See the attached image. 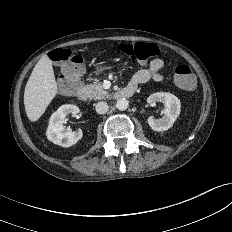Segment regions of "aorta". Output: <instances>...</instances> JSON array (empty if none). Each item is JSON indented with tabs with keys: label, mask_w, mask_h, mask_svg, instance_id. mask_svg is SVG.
<instances>
[{
	"label": "aorta",
	"mask_w": 232,
	"mask_h": 232,
	"mask_svg": "<svg viewBox=\"0 0 232 232\" xmlns=\"http://www.w3.org/2000/svg\"><path fill=\"white\" fill-rule=\"evenodd\" d=\"M128 106H129V101L127 99L122 98L116 102V107L120 111L126 110Z\"/></svg>",
	"instance_id": "1"
}]
</instances>
